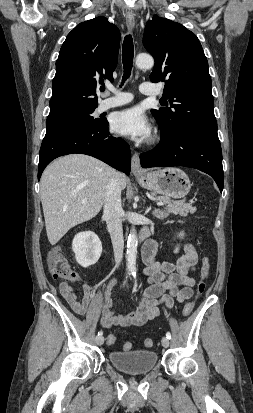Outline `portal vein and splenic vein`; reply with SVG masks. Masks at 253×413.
I'll return each mask as SVG.
<instances>
[{
  "label": "portal vein and splenic vein",
  "mask_w": 253,
  "mask_h": 413,
  "mask_svg": "<svg viewBox=\"0 0 253 413\" xmlns=\"http://www.w3.org/2000/svg\"><path fill=\"white\" fill-rule=\"evenodd\" d=\"M82 203H83V204H85V203H86V201H85V200H83V201H82ZM157 204H158V205H162L163 203L160 201V202H158Z\"/></svg>",
  "instance_id": "1"
}]
</instances>
